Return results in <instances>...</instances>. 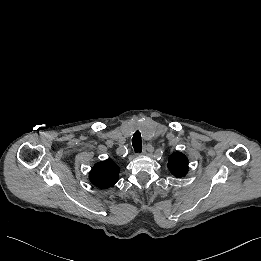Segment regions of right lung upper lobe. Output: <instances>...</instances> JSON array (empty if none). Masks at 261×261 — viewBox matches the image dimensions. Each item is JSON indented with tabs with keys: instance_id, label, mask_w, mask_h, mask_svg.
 I'll list each match as a JSON object with an SVG mask.
<instances>
[{
	"instance_id": "right-lung-upper-lobe-1",
	"label": "right lung upper lobe",
	"mask_w": 261,
	"mask_h": 261,
	"mask_svg": "<svg viewBox=\"0 0 261 261\" xmlns=\"http://www.w3.org/2000/svg\"><path fill=\"white\" fill-rule=\"evenodd\" d=\"M120 168L110 159L97 163L89 174L90 181L100 187L108 188L118 181Z\"/></svg>"
}]
</instances>
